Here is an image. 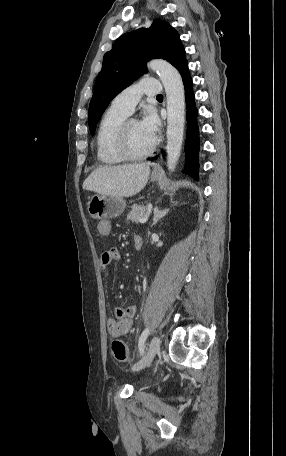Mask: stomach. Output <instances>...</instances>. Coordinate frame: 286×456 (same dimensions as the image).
I'll use <instances>...</instances> for the list:
<instances>
[{"label":"stomach","instance_id":"0dacf381","mask_svg":"<svg viewBox=\"0 0 286 456\" xmlns=\"http://www.w3.org/2000/svg\"><path fill=\"white\" fill-rule=\"evenodd\" d=\"M159 175L152 173L151 180L156 181ZM126 207V201L122 197L97 194L90 198L87 203L89 215L94 219H107L120 216Z\"/></svg>","mask_w":286,"mask_h":456}]
</instances>
